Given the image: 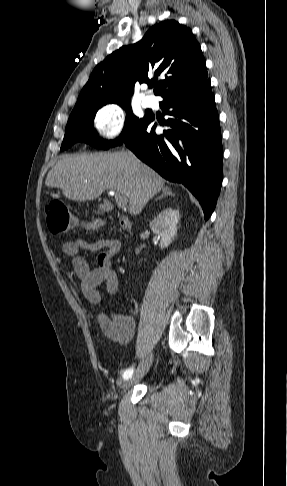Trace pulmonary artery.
I'll list each match as a JSON object with an SVG mask.
<instances>
[{"mask_svg":"<svg viewBox=\"0 0 287 486\" xmlns=\"http://www.w3.org/2000/svg\"><path fill=\"white\" fill-rule=\"evenodd\" d=\"M142 103L145 107H151L155 104V98L152 95H146L143 98Z\"/></svg>","mask_w":287,"mask_h":486,"instance_id":"1","label":"pulmonary artery"}]
</instances>
